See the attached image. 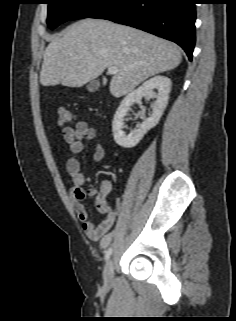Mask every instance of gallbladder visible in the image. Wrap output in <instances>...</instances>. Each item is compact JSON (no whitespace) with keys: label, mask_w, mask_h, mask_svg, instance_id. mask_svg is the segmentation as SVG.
<instances>
[{"label":"gallbladder","mask_w":236,"mask_h":321,"mask_svg":"<svg viewBox=\"0 0 236 321\" xmlns=\"http://www.w3.org/2000/svg\"><path fill=\"white\" fill-rule=\"evenodd\" d=\"M98 88H99V82L96 81V80L91 81V82L87 85V90H88L89 92H95V91L98 90Z\"/></svg>","instance_id":"gallbladder-1"}]
</instances>
